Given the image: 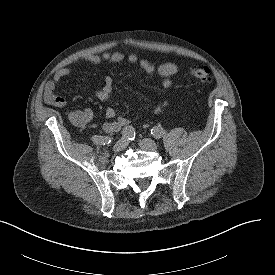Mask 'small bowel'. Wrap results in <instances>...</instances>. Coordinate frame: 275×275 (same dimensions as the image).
Masks as SVG:
<instances>
[{
    "label": "small bowel",
    "instance_id": "c3829d8e",
    "mask_svg": "<svg viewBox=\"0 0 275 275\" xmlns=\"http://www.w3.org/2000/svg\"><path fill=\"white\" fill-rule=\"evenodd\" d=\"M127 60L130 64H139L142 71L147 74L155 72L162 78L161 86L164 90H170L174 87L172 77L179 73V68L174 63H164L157 68L147 60L139 61L135 54H130L127 57L120 52H105L101 55L93 54L87 56L85 61L91 64H100L102 62L119 63ZM71 74L69 68L59 69L54 77L49 80L44 89V100L47 104L57 107H65L67 101L63 96L54 93L56 85L59 84L64 78ZM113 78L110 75L105 76L102 88L97 92V98L100 101H108L112 95ZM163 110V105L159 104L154 108V113L158 114ZM105 117L109 120L104 123L103 130L106 133H113L125 127L129 120L126 117L118 116L117 110L114 107H109L105 111ZM68 120L76 127H84L89 124L93 119V111L90 109L72 110L67 112Z\"/></svg>",
    "mask_w": 275,
    "mask_h": 275
}]
</instances>
